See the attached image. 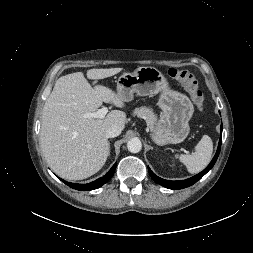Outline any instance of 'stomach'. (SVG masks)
Masks as SVG:
<instances>
[{"mask_svg":"<svg viewBox=\"0 0 253 253\" xmlns=\"http://www.w3.org/2000/svg\"><path fill=\"white\" fill-rule=\"evenodd\" d=\"M117 93L126 101L133 94L152 96L160 93L158 107L161 118L152 130V139L157 145L178 144L189 134V121L194 113L191 100L170 88L162 72L155 67H139L132 73L122 74L117 82Z\"/></svg>","mask_w":253,"mask_h":253,"instance_id":"obj_1","label":"stomach"}]
</instances>
